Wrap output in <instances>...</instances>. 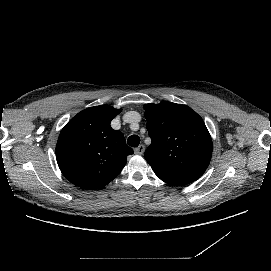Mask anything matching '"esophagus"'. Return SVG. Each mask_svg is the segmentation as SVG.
Here are the masks:
<instances>
[{"mask_svg":"<svg viewBox=\"0 0 271 271\" xmlns=\"http://www.w3.org/2000/svg\"><path fill=\"white\" fill-rule=\"evenodd\" d=\"M145 152V146L143 144L139 145L134 149V153L137 155H142Z\"/></svg>","mask_w":271,"mask_h":271,"instance_id":"34e87169","label":"esophagus"}]
</instances>
